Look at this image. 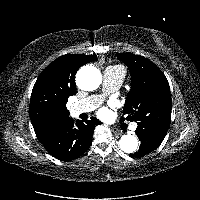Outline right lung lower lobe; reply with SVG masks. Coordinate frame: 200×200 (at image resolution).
Segmentation results:
<instances>
[{"label": "right lung lower lobe", "instance_id": "98d812e1", "mask_svg": "<svg viewBox=\"0 0 200 200\" xmlns=\"http://www.w3.org/2000/svg\"><path fill=\"white\" fill-rule=\"evenodd\" d=\"M101 122L92 117L82 122L70 117L51 121L36 134L38 140L55 158L69 161L84 154L92 143L93 131Z\"/></svg>", "mask_w": 200, "mask_h": 200}]
</instances>
